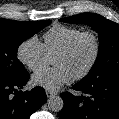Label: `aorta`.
<instances>
[{
    "label": "aorta",
    "instance_id": "762f6f07",
    "mask_svg": "<svg viewBox=\"0 0 119 119\" xmlns=\"http://www.w3.org/2000/svg\"><path fill=\"white\" fill-rule=\"evenodd\" d=\"M63 106L64 102L60 96H51L48 99V108L53 112H60Z\"/></svg>",
    "mask_w": 119,
    "mask_h": 119
}]
</instances>
